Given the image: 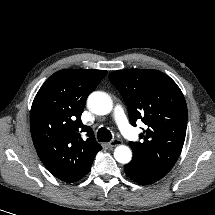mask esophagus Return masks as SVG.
Returning <instances> with one entry per match:
<instances>
[{
	"label": "esophagus",
	"instance_id": "esophagus-1",
	"mask_svg": "<svg viewBox=\"0 0 215 215\" xmlns=\"http://www.w3.org/2000/svg\"><path fill=\"white\" fill-rule=\"evenodd\" d=\"M121 144H122V141H121V140H119V139H114V140H112L111 142H109V143L107 144V146H108L109 148H113V147H116V146L121 145Z\"/></svg>",
	"mask_w": 215,
	"mask_h": 215
}]
</instances>
